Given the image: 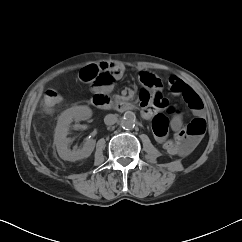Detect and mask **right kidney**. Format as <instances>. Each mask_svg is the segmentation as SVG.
I'll return each instance as SVG.
<instances>
[{
  "label": "right kidney",
  "instance_id": "obj_1",
  "mask_svg": "<svg viewBox=\"0 0 242 242\" xmlns=\"http://www.w3.org/2000/svg\"><path fill=\"white\" fill-rule=\"evenodd\" d=\"M91 115L92 111L88 106L71 107L60 115L54 135V144L57 148L60 158L74 162L87 158L91 155L96 144L94 139L87 138L81 149L70 150L68 148L70 139L67 138L70 124L73 121L79 122L81 120L90 118Z\"/></svg>",
  "mask_w": 242,
  "mask_h": 242
}]
</instances>
